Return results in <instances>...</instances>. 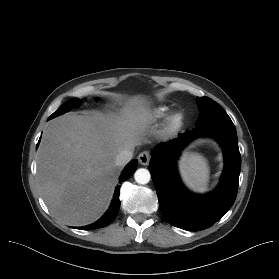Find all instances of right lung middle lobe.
Instances as JSON below:
<instances>
[{
	"instance_id": "1",
	"label": "right lung middle lobe",
	"mask_w": 279,
	"mask_h": 279,
	"mask_svg": "<svg viewBox=\"0 0 279 279\" xmlns=\"http://www.w3.org/2000/svg\"><path fill=\"white\" fill-rule=\"evenodd\" d=\"M81 103V100L79 98L71 99L64 103L56 112H54L49 119L54 118L58 115H61L77 106Z\"/></svg>"
}]
</instances>
